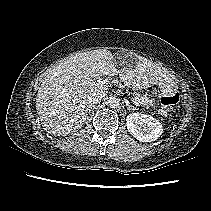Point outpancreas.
Returning <instances> with one entry per match:
<instances>
[{"label":"pancreas","mask_w":211,"mask_h":211,"mask_svg":"<svg viewBox=\"0 0 211 211\" xmlns=\"http://www.w3.org/2000/svg\"><path fill=\"white\" fill-rule=\"evenodd\" d=\"M135 100H137L139 102V104L143 105L144 107H150L154 105V100L150 99L147 95L144 96H140V95H136L135 96ZM158 113L162 116L167 117V112L162 110V109H158Z\"/></svg>","instance_id":"cf45deb5"}]
</instances>
